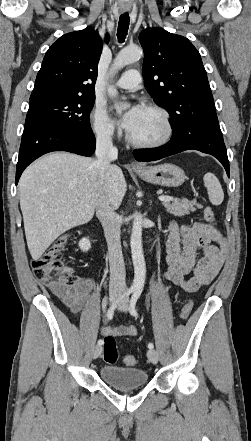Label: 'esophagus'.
Segmentation results:
<instances>
[{
  "label": "esophagus",
  "mask_w": 251,
  "mask_h": 441,
  "mask_svg": "<svg viewBox=\"0 0 251 441\" xmlns=\"http://www.w3.org/2000/svg\"><path fill=\"white\" fill-rule=\"evenodd\" d=\"M121 11H122V12H126V11H128V8H125V7H124V8L121 9ZM131 167L134 168V169H138V168H142V165H140V164L137 163V162H132V163H131Z\"/></svg>",
  "instance_id": "esophagus-1"
}]
</instances>
